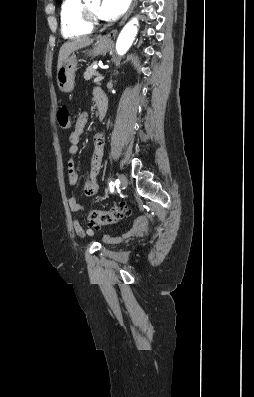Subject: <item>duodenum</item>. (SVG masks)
<instances>
[{
  "label": "duodenum",
  "mask_w": 254,
  "mask_h": 397,
  "mask_svg": "<svg viewBox=\"0 0 254 397\" xmlns=\"http://www.w3.org/2000/svg\"><path fill=\"white\" fill-rule=\"evenodd\" d=\"M96 104L99 118L103 119L107 111V97L104 93L98 97Z\"/></svg>",
  "instance_id": "410a0bca"
}]
</instances>
